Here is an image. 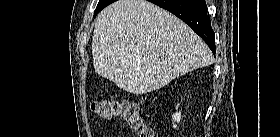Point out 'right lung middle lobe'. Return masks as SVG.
I'll return each mask as SVG.
<instances>
[{"mask_svg":"<svg viewBox=\"0 0 280 137\" xmlns=\"http://www.w3.org/2000/svg\"><path fill=\"white\" fill-rule=\"evenodd\" d=\"M116 0H99V3L94 11V16H96L103 8L113 3Z\"/></svg>","mask_w":280,"mask_h":137,"instance_id":"1","label":"right lung middle lobe"}]
</instances>
